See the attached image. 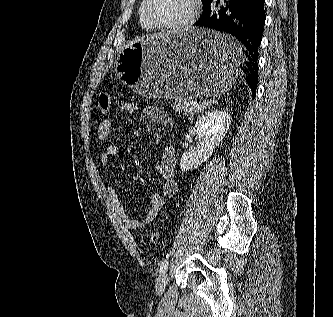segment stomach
I'll use <instances>...</instances> for the list:
<instances>
[{
  "label": "stomach",
  "mask_w": 333,
  "mask_h": 317,
  "mask_svg": "<svg viewBox=\"0 0 333 317\" xmlns=\"http://www.w3.org/2000/svg\"><path fill=\"white\" fill-rule=\"evenodd\" d=\"M223 29L191 28L132 41L118 54L122 82L145 98L216 97L242 82L244 45Z\"/></svg>",
  "instance_id": "0dacf381"
}]
</instances>
